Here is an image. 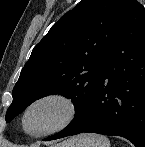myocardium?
Listing matches in <instances>:
<instances>
[{
	"label": "myocardium",
	"mask_w": 145,
	"mask_h": 147,
	"mask_svg": "<svg viewBox=\"0 0 145 147\" xmlns=\"http://www.w3.org/2000/svg\"><path fill=\"white\" fill-rule=\"evenodd\" d=\"M50 102L59 103L63 106L65 110L63 119L57 125L51 128L39 131L30 130L27 126V119L30 112L36 107ZM77 113L78 107L73 98L61 92H50L34 98L25 106L20 117V126L22 131L28 136L36 138L47 136L60 132L67 128L75 120Z\"/></svg>",
	"instance_id": "1"
}]
</instances>
